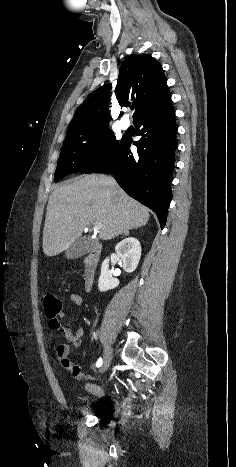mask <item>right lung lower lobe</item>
Segmentation results:
<instances>
[{
	"instance_id": "right-lung-lower-lobe-1",
	"label": "right lung lower lobe",
	"mask_w": 236,
	"mask_h": 467,
	"mask_svg": "<svg viewBox=\"0 0 236 467\" xmlns=\"http://www.w3.org/2000/svg\"><path fill=\"white\" fill-rule=\"evenodd\" d=\"M141 139L126 137L117 154L93 173H113L124 191L152 209L163 229L172 199L170 182L177 148L175 111L171 97L134 122ZM137 146V154L130 151Z\"/></svg>"
}]
</instances>
